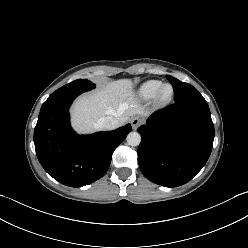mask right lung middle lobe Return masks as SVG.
I'll use <instances>...</instances> for the list:
<instances>
[{
  "label": "right lung middle lobe",
  "instance_id": "right-lung-middle-lobe-1",
  "mask_svg": "<svg viewBox=\"0 0 248 248\" xmlns=\"http://www.w3.org/2000/svg\"><path fill=\"white\" fill-rule=\"evenodd\" d=\"M95 88V84L86 79H78L67 85H64L60 89H83V90H91Z\"/></svg>",
  "mask_w": 248,
  "mask_h": 248
}]
</instances>
